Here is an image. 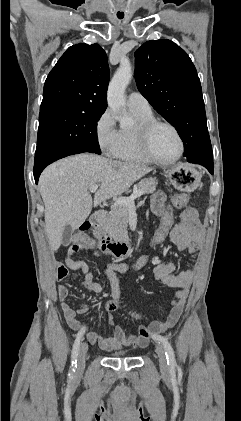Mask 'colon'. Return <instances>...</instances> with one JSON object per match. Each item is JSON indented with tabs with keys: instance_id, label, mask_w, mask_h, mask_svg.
<instances>
[{
	"instance_id": "obj_1",
	"label": "colon",
	"mask_w": 241,
	"mask_h": 421,
	"mask_svg": "<svg viewBox=\"0 0 241 421\" xmlns=\"http://www.w3.org/2000/svg\"><path fill=\"white\" fill-rule=\"evenodd\" d=\"M189 197L187 194H176L171 199L170 205L165 214L160 217L159 223L150 239V247H157L161 245L169 236L172 226L174 224L173 208H182L187 205ZM90 226L88 223H83L79 230L73 235V244L71 248L74 252H79L82 246L93 248L94 243L88 237L87 231ZM67 276V269L64 266L58 268V279H63Z\"/></svg>"
}]
</instances>
